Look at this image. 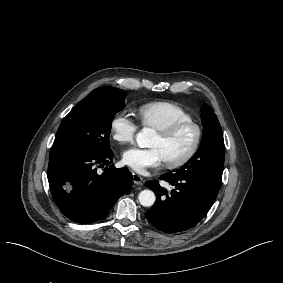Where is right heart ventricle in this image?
<instances>
[{"label": "right heart ventricle", "mask_w": 283, "mask_h": 283, "mask_svg": "<svg viewBox=\"0 0 283 283\" xmlns=\"http://www.w3.org/2000/svg\"><path fill=\"white\" fill-rule=\"evenodd\" d=\"M142 125L157 132L164 131L173 123L183 119H192L191 114L177 104L167 101L148 102L135 109Z\"/></svg>", "instance_id": "e07e8e85"}]
</instances>
